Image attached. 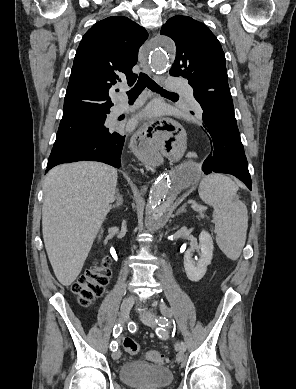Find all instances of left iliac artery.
Segmentation results:
<instances>
[{
    "label": "left iliac artery",
    "mask_w": 296,
    "mask_h": 389,
    "mask_svg": "<svg viewBox=\"0 0 296 389\" xmlns=\"http://www.w3.org/2000/svg\"><path fill=\"white\" fill-rule=\"evenodd\" d=\"M156 322H157L158 325L161 327V328H158V329L156 330L157 335H158L159 337H162V336H164V329H163L162 327L168 326V325H169V320L166 319L164 316H161V317H159V318L156 319ZM178 346H179V349H181V350H183V351L186 350V346H185V344H184L183 341H181V342L179 343Z\"/></svg>",
    "instance_id": "obj_1"
}]
</instances>
